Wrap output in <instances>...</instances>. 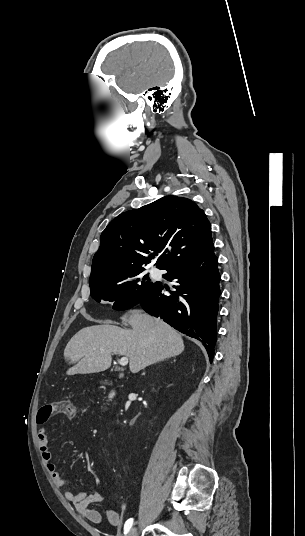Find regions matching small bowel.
Returning a JSON list of instances; mask_svg holds the SVG:
<instances>
[{"label":"small bowel","mask_w":305,"mask_h":536,"mask_svg":"<svg viewBox=\"0 0 305 536\" xmlns=\"http://www.w3.org/2000/svg\"><path fill=\"white\" fill-rule=\"evenodd\" d=\"M39 433L40 435H37V442L42 459L46 464L47 471L58 487H64L67 484V480L58 471L57 465L54 462V455L49 448L47 428H40ZM103 497L104 495L101 491H95L92 494H87V492L84 490L79 492H74L71 490L65 491V498L73 504L76 511L93 523H100L102 521V516L98 511L92 509L91 505L102 501ZM106 516L111 526H119L120 514L117 511L108 509L106 511Z\"/></svg>","instance_id":"c3829d8e"}]
</instances>
